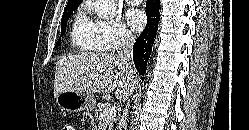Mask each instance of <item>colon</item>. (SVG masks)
<instances>
[{"instance_id": "colon-1", "label": "colon", "mask_w": 249, "mask_h": 130, "mask_svg": "<svg viewBox=\"0 0 249 130\" xmlns=\"http://www.w3.org/2000/svg\"><path fill=\"white\" fill-rule=\"evenodd\" d=\"M61 130H77L72 123H66L62 126Z\"/></svg>"}]
</instances>
